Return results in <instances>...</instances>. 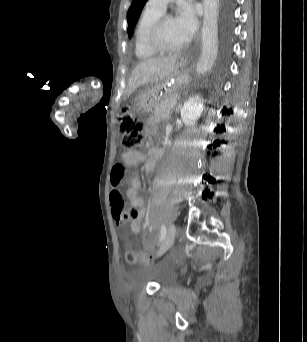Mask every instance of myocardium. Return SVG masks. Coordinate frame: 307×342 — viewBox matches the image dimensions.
<instances>
[{"mask_svg": "<svg viewBox=\"0 0 307 342\" xmlns=\"http://www.w3.org/2000/svg\"><path fill=\"white\" fill-rule=\"evenodd\" d=\"M174 20L170 16H160L157 19H155L152 24L150 25V28L148 30L147 34V46L150 50L155 52L158 55L162 56H176L182 53L183 48L177 49V50H168L165 49L161 43H160V33L163 25L169 21Z\"/></svg>", "mask_w": 307, "mask_h": 342, "instance_id": "myocardium-1", "label": "myocardium"}]
</instances>
